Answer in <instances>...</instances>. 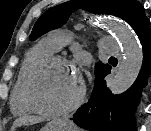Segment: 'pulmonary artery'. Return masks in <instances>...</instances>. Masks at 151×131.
<instances>
[{"label": "pulmonary artery", "instance_id": "pulmonary-artery-1", "mask_svg": "<svg viewBox=\"0 0 151 131\" xmlns=\"http://www.w3.org/2000/svg\"><path fill=\"white\" fill-rule=\"evenodd\" d=\"M46 41L55 50H60L63 46L71 41V36L62 30H55L48 34ZM101 48L111 54L118 53V46L114 39L110 37H103L100 39Z\"/></svg>", "mask_w": 151, "mask_h": 131}]
</instances>
